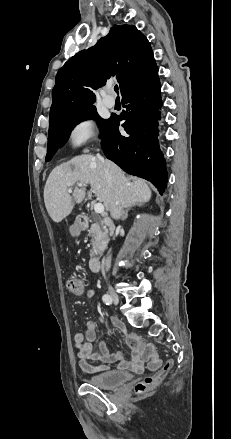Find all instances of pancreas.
Wrapping results in <instances>:
<instances>
[{"mask_svg":"<svg viewBox=\"0 0 231 439\" xmlns=\"http://www.w3.org/2000/svg\"><path fill=\"white\" fill-rule=\"evenodd\" d=\"M90 236H91V242H92V251L90 253L91 256H94L98 254L101 250L105 248V246L108 243V230L104 227H102L98 223H94L91 225L90 229L88 230Z\"/></svg>","mask_w":231,"mask_h":439,"instance_id":"obj_1","label":"pancreas"}]
</instances>
